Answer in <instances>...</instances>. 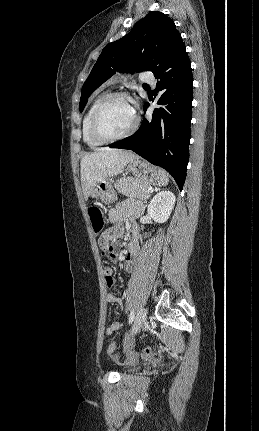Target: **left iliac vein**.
<instances>
[{
	"label": "left iliac vein",
	"instance_id": "obj_1",
	"mask_svg": "<svg viewBox=\"0 0 259 431\" xmlns=\"http://www.w3.org/2000/svg\"><path fill=\"white\" fill-rule=\"evenodd\" d=\"M146 318L147 310L145 308H141L136 315L129 339H131L141 329Z\"/></svg>",
	"mask_w": 259,
	"mask_h": 431
}]
</instances>
